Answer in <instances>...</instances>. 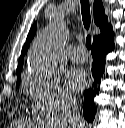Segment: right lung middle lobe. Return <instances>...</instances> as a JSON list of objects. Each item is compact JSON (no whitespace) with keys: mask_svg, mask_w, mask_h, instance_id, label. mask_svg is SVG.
I'll list each match as a JSON object with an SVG mask.
<instances>
[{"mask_svg":"<svg viewBox=\"0 0 125 128\" xmlns=\"http://www.w3.org/2000/svg\"><path fill=\"white\" fill-rule=\"evenodd\" d=\"M20 80H21V73L17 74V83H16V87H18V85L20 84Z\"/></svg>","mask_w":125,"mask_h":128,"instance_id":"dd1d6c3e","label":"right lung middle lobe"}]
</instances>
